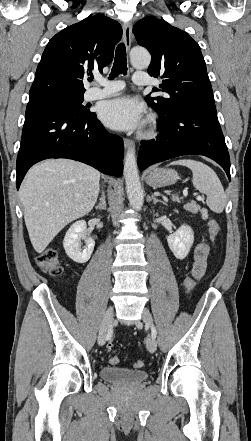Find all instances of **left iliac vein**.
<instances>
[{
  "instance_id": "left-iliac-vein-1",
  "label": "left iliac vein",
  "mask_w": 251,
  "mask_h": 441,
  "mask_svg": "<svg viewBox=\"0 0 251 441\" xmlns=\"http://www.w3.org/2000/svg\"><path fill=\"white\" fill-rule=\"evenodd\" d=\"M142 320L146 325H148V326L152 325L153 319H152V315L149 312V310H147V309L143 310ZM136 325H137V327H140L139 322H137ZM146 347H147L148 351L151 353H154L156 351L157 343H156L155 338L152 335L148 337V339L146 341Z\"/></svg>"
}]
</instances>
